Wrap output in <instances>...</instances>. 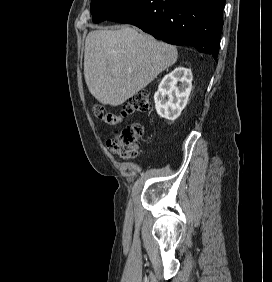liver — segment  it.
<instances>
[{
    "mask_svg": "<svg viewBox=\"0 0 272 282\" xmlns=\"http://www.w3.org/2000/svg\"><path fill=\"white\" fill-rule=\"evenodd\" d=\"M175 46L129 26L89 32L84 76L90 93L103 105L118 106L173 65Z\"/></svg>",
    "mask_w": 272,
    "mask_h": 282,
    "instance_id": "6515ba94",
    "label": "liver"
}]
</instances>
